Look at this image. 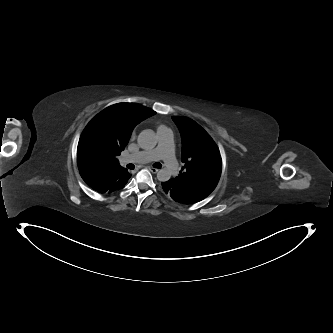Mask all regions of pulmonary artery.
<instances>
[{
    "instance_id": "pulmonary-artery-1",
    "label": "pulmonary artery",
    "mask_w": 333,
    "mask_h": 333,
    "mask_svg": "<svg viewBox=\"0 0 333 333\" xmlns=\"http://www.w3.org/2000/svg\"><path fill=\"white\" fill-rule=\"evenodd\" d=\"M159 143L155 149L148 151H140L129 155L121 160L122 164L128 163H149L155 160H162L166 169L174 173L176 163L173 149V134L168 128H163L157 131Z\"/></svg>"
}]
</instances>
